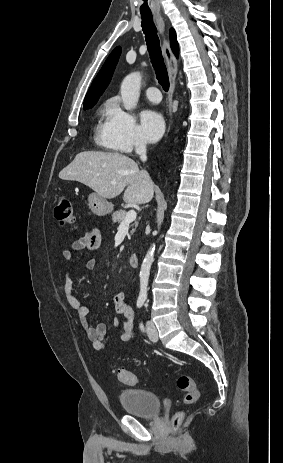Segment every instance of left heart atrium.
<instances>
[{
  "mask_svg": "<svg viewBox=\"0 0 283 463\" xmlns=\"http://www.w3.org/2000/svg\"><path fill=\"white\" fill-rule=\"evenodd\" d=\"M165 123L162 116L153 110H146L141 115L140 132L148 142H156L163 135Z\"/></svg>",
  "mask_w": 283,
  "mask_h": 463,
  "instance_id": "1",
  "label": "left heart atrium"
}]
</instances>
